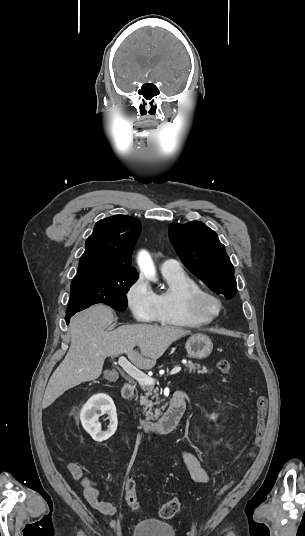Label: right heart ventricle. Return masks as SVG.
I'll use <instances>...</instances> for the list:
<instances>
[{"mask_svg":"<svg viewBox=\"0 0 305 536\" xmlns=\"http://www.w3.org/2000/svg\"><path fill=\"white\" fill-rule=\"evenodd\" d=\"M161 273L168 284V288L156 294L158 306L156 321L163 326H201L199 320L190 316L184 306V298L188 293L202 289L198 281L182 268L178 270H161Z\"/></svg>","mask_w":305,"mask_h":536,"instance_id":"1","label":"right heart ventricle"}]
</instances>
